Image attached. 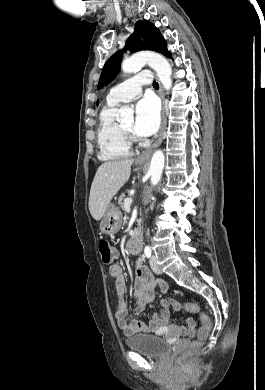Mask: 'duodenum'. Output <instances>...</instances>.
Instances as JSON below:
<instances>
[{
    "label": "duodenum",
    "mask_w": 265,
    "mask_h": 390,
    "mask_svg": "<svg viewBox=\"0 0 265 390\" xmlns=\"http://www.w3.org/2000/svg\"><path fill=\"white\" fill-rule=\"evenodd\" d=\"M127 250L132 253H138L141 249V231L136 229L132 237L126 243Z\"/></svg>",
    "instance_id": "410a0bca"
}]
</instances>
